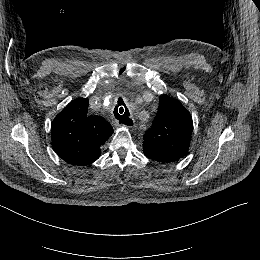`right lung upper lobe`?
Segmentation results:
<instances>
[{
  "label": "right lung upper lobe",
  "instance_id": "1",
  "mask_svg": "<svg viewBox=\"0 0 260 260\" xmlns=\"http://www.w3.org/2000/svg\"><path fill=\"white\" fill-rule=\"evenodd\" d=\"M88 99L69 103L53 120L52 144L56 153L72 165H89L101 154V146L112 135L109 122L97 115H87Z\"/></svg>",
  "mask_w": 260,
  "mask_h": 260
}]
</instances>
